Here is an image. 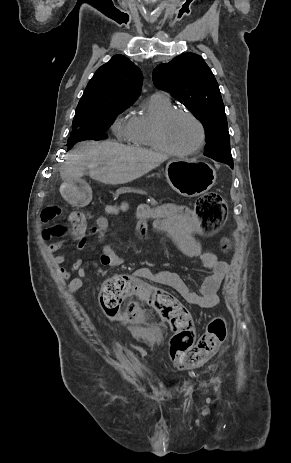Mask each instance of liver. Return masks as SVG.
Returning <instances> with one entry per match:
<instances>
[{
  "label": "liver",
  "instance_id": "obj_1",
  "mask_svg": "<svg viewBox=\"0 0 291 463\" xmlns=\"http://www.w3.org/2000/svg\"><path fill=\"white\" fill-rule=\"evenodd\" d=\"M167 160V156L151 150L129 147L113 141L84 142L69 153L61 168L64 181H81L88 171L90 177L104 184L131 182Z\"/></svg>",
  "mask_w": 291,
  "mask_h": 463
}]
</instances>
